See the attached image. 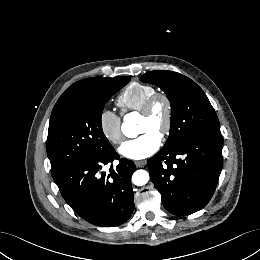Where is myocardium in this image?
<instances>
[{"mask_svg":"<svg viewBox=\"0 0 260 260\" xmlns=\"http://www.w3.org/2000/svg\"><path fill=\"white\" fill-rule=\"evenodd\" d=\"M157 101H163V103L165 104V118L159 135L162 138H166L172 129L174 109L171 98L165 92L155 91L154 93H152L145 100L139 112L142 116L149 117L152 114L154 105Z\"/></svg>","mask_w":260,"mask_h":260,"instance_id":"myocardium-1","label":"myocardium"}]
</instances>
